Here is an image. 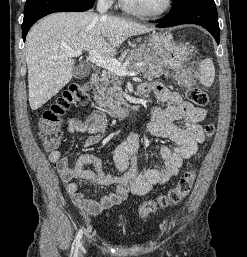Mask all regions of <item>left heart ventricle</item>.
<instances>
[{"instance_id": "1", "label": "left heart ventricle", "mask_w": 247, "mask_h": 257, "mask_svg": "<svg viewBox=\"0 0 247 257\" xmlns=\"http://www.w3.org/2000/svg\"><path fill=\"white\" fill-rule=\"evenodd\" d=\"M131 6L136 9L155 12L160 10L165 3V0H126Z\"/></svg>"}]
</instances>
